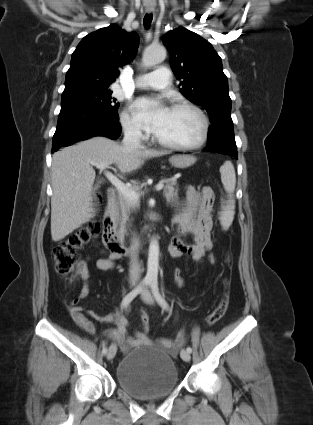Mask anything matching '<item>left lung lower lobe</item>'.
<instances>
[{"mask_svg": "<svg viewBox=\"0 0 313 425\" xmlns=\"http://www.w3.org/2000/svg\"><path fill=\"white\" fill-rule=\"evenodd\" d=\"M208 145L204 150L232 155L238 158L233 123L211 125L208 132Z\"/></svg>", "mask_w": 313, "mask_h": 425, "instance_id": "left-lung-lower-lobe-1", "label": "left lung lower lobe"}]
</instances>
